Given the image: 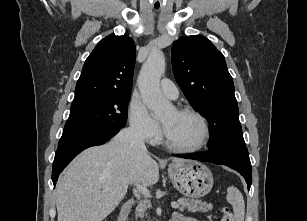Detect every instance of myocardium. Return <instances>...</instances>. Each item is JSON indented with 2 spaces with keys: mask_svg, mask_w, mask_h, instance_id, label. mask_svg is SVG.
Instances as JSON below:
<instances>
[{
  "mask_svg": "<svg viewBox=\"0 0 307 221\" xmlns=\"http://www.w3.org/2000/svg\"><path fill=\"white\" fill-rule=\"evenodd\" d=\"M176 111L178 113L181 114H189L194 116L195 118L198 119V121L201 124L202 127V136L199 140L198 143H196L193 146H189V147H180V146H176L174 144H172L166 134L165 128L163 129V142L164 145L171 151L176 152V153H183V154H187V153H194L197 152L199 150H201L208 142L209 137H210V127H209V123L208 120L206 119V117L199 112L198 110L191 108V107H181L176 109Z\"/></svg>",
  "mask_w": 307,
  "mask_h": 221,
  "instance_id": "obj_1",
  "label": "myocardium"
}]
</instances>
